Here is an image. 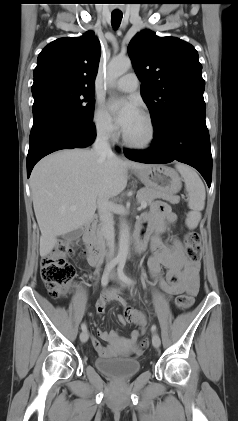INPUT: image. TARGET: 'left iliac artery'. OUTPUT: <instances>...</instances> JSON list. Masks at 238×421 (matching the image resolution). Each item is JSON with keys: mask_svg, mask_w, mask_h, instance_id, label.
<instances>
[{"mask_svg": "<svg viewBox=\"0 0 238 421\" xmlns=\"http://www.w3.org/2000/svg\"><path fill=\"white\" fill-rule=\"evenodd\" d=\"M124 266H125V261L124 260H121L120 262H119V265H118V268H117V274H118V277L120 278V280L122 281V282H124L125 284H127V285H132L134 282H133V280L132 279H130L125 273H124ZM151 331L152 332H154V331H156V325H153L152 327H151Z\"/></svg>", "mask_w": 238, "mask_h": 421, "instance_id": "obj_1", "label": "left iliac artery"}]
</instances>
